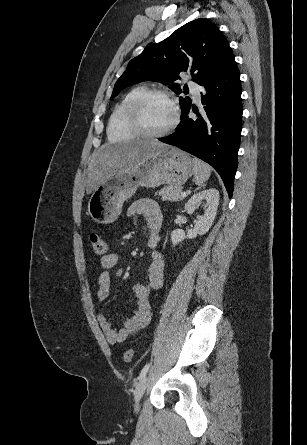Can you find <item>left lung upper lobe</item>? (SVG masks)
I'll list each match as a JSON object with an SVG mask.
<instances>
[{
	"instance_id": "left-lung-upper-lobe-1",
	"label": "left lung upper lobe",
	"mask_w": 307,
	"mask_h": 445,
	"mask_svg": "<svg viewBox=\"0 0 307 445\" xmlns=\"http://www.w3.org/2000/svg\"><path fill=\"white\" fill-rule=\"evenodd\" d=\"M232 57L228 41L219 29L208 19L199 18L183 25L165 40L147 45L139 56L129 62L111 97L145 80L169 84L177 80L183 71H189L192 80L203 86ZM169 87L176 94L182 92L178 84L173 83ZM180 106L182 119L191 107V99L181 97Z\"/></svg>"
}]
</instances>
